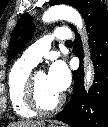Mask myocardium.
Wrapping results in <instances>:
<instances>
[{"label":"myocardium","instance_id":"myocardium-1","mask_svg":"<svg viewBox=\"0 0 108 127\" xmlns=\"http://www.w3.org/2000/svg\"><path fill=\"white\" fill-rule=\"evenodd\" d=\"M39 72L41 71H33L28 76L25 86V100L28 107L35 113L49 114L55 112L61 107L64 101V97L59 96L58 99L51 106H44L38 98L36 88V76Z\"/></svg>","mask_w":108,"mask_h":127}]
</instances>
